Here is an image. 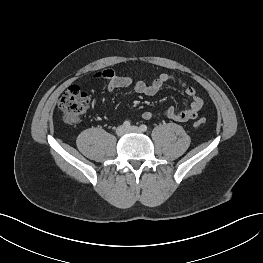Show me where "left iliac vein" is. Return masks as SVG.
Returning <instances> with one entry per match:
<instances>
[{"label":"left iliac vein","instance_id":"obj_1","mask_svg":"<svg viewBox=\"0 0 263 263\" xmlns=\"http://www.w3.org/2000/svg\"><path fill=\"white\" fill-rule=\"evenodd\" d=\"M128 132H134V133H141L140 128H138L137 126H132L130 128L127 129Z\"/></svg>","mask_w":263,"mask_h":263}]
</instances>
